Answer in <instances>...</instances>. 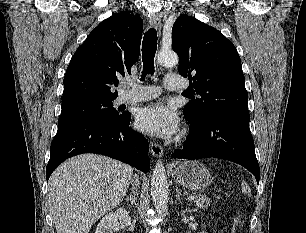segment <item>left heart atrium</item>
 <instances>
[{
  "instance_id": "39dd6f15",
  "label": "left heart atrium",
  "mask_w": 306,
  "mask_h": 233,
  "mask_svg": "<svg viewBox=\"0 0 306 233\" xmlns=\"http://www.w3.org/2000/svg\"><path fill=\"white\" fill-rule=\"evenodd\" d=\"M136 126L142 132L171 137L178 131L179 120L171 106L159 102L139 111Z\"/></svg>"
}]
</instances>
